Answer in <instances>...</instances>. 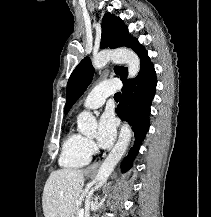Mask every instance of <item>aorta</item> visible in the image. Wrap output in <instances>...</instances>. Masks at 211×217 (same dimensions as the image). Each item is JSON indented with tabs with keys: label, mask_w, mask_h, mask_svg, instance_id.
Instances as JSON below:
<instances>
[{
	"label": "aorta",
	"mask_w": 211,
	"mask_h": 217,
	"mask_svg": "<svg viewBox=\"0 0 211 217\" xmlns=\"http://www.w3.org/2000/svg\"><path fill=\"white\" fill-rule=\"evenodd\" d=\"M110 60L115 63H125L128 66V78H134L137 76L140 70V59L139 57L129 49H117L113 51H102L95 55L92 60L93 67L95 69H101ZM78 129L85 135L94 134L97 128V122L95 117L90 112H82L77 118ZM131 140V127L127 122H124L120 133L119 139L109 153L107 158L102 163L98 174L96 189L100 188L111 175L114 167L117 165L119 160L122 158L128 144Z\"/></svg>",
	"instance_id": "762f6f07"
}]
</instances>
